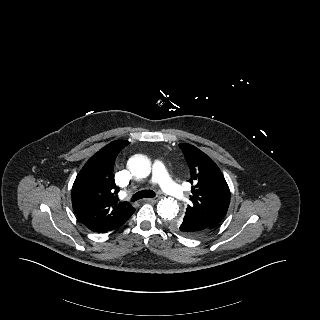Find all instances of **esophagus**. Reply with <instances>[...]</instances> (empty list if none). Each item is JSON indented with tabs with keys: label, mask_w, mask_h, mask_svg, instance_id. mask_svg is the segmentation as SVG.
<instances>
[{
	"label": "esophagus",
	"mask_w": 320,
	"mask_h": 320,
	"mask_svg": "<svg viewBox=\"0 0 320 320\" xmlns=\"http://www.w3.org/2000/svg\"><path fill=\"white\" fill-rule=\"evenodd\" d=\"M159 200V198H146L145 201L146 202H151V203H155Z\"/></svg>",
	"instance_id": "34e87169"
}]
</instances>
